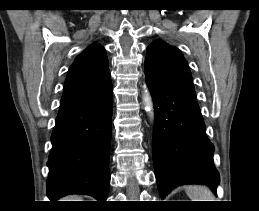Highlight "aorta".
<instances>
[{
    "instance_id": "762f6f07",
    "label": "aorta",
    "mask_w": 259,
    "mask_h": 211,
    "mask_svg": "<svg viewBox=\"0 0 259 211\" xmlns=\"http://www.w3.org/2000/svg\"><path fill=\"white\" fill-rule=\"evenodd\" d=\"M143 102L145 105V110L149 113L151 118L154 120V105L151 94L148 88H144Z\"/></svg>"
}]
</instances>
